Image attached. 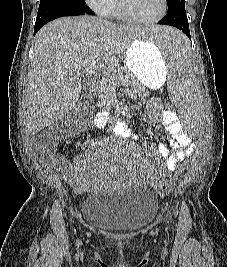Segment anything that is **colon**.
I'll list each match as a JSON object with an SVG mask.
<instances>
[{"label": "colon", "instance_id": "colon-1", "mask_svg": "<svg viewBox=\"0 0 227 267\" xmlns=\"http://www.w3.org/2000/svg\"><path fill=\"white\" fill-rule=\"evenodd\" d=\"M162 108L166 109L167 113L175 112V105L172 104V100H163ZM88 109L89 105L87 102H81L79 104L75 116L76 123H79L83 120L86 113L88 112ZM69 133V122L57 123L51 127L50 131L46 135L39 137L38 141L54 145L67 137ZM183 171H187V161H180V166H178V169H163L157 185L159 193H171L174 188V178H180V176L183 175Z\"/></svg>", "mask_w": 227, "mask_h": 267}]
</instances>
